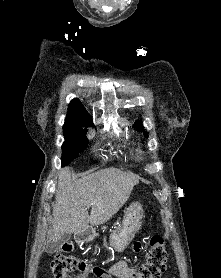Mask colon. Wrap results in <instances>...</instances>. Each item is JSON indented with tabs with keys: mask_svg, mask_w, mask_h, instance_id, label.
I'll list each match as a JSON object with an SVG mask.
<instances>
[{
	"mask_svg": "<svg viewBox=\"0 0 221 278\" xmlns=\"http://www.w3.org/2000/svg\"><path fill=\"white\" fill-rule=\"evenodd\" d=\"M63 253H59L52 261L51 269L55 278H69L72 275L87 277L100 274L101 268L88 263L83 259L67 255L71 250L70 244L63 246ZM167 251L164 240L159 235H154L149 241L146 258L143 264L135 269L131 278H160L166 269Z\"/></svg>",
	"mask_w": 221,
	"mask_h": 278,
	"instance_id": "colon-1",
	"label": "colon"
}]
</instances>
